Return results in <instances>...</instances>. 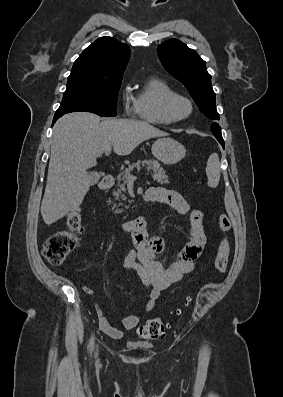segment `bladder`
<instances>
[{"label": "bladder", "instance_id": "31cf9c89", "mask_svg": "<svg viewBox=\"0 0 283 397\" xmlns=\"http://www.w3.org/2000/svg\"><path fill=\"white\" fill-rule=\"evenodd\" d=\"M136 346H139V347H144L143 345H136Z\"/></svg>", "mask_w": 283, "mask_h": 397}]
</instances>
